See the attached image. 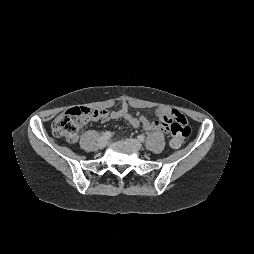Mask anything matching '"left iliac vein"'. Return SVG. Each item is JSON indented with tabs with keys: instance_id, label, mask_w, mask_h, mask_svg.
<instances>
[{
	"instance_id": "obj_1",
	"label": "left iliac vein",
	"mask_w": 254,
	"mask_h": 254,
	"mask_svg": "<svg viewBox=\"0 0 254 254\" xmlns=\"http://www.w3.org/2000/svg\"><path fill=\"white\" fill-rule=\"evenodd\" d=\"M127 141L138 150L142 148V144L137 139L130 138Z\"/></svg>"
}]
</instances>
